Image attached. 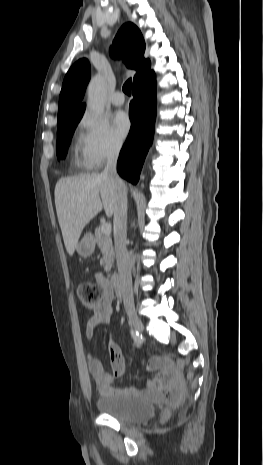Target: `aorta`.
<instances>
[{
  "label": "aorta",
  "mask_w": 263,
  "mask_h": 465,
  "mask_svg": "<svg viewBox=\"0 0 263 465\" xmlns=\"http://www.w3.org/2000/svg\"><path fill=\"white\" fill-rule=\"evenodd\" d=\"M106 100L105 81L101 75H95L88 86L87 105L96 114L104 112Z\"/></svg>",
  "instance_id": "1"
}]
</instances>
